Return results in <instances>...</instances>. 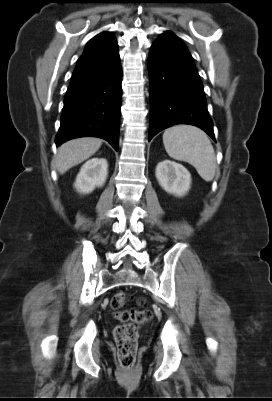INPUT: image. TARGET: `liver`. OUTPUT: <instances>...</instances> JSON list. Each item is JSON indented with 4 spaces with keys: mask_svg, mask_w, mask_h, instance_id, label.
Segmentation results:
<instances>
[{
    "mask_svg": "<svg viewBox=\"0 0 272 401\" xmlns=\"http://www.w3.org/2000/svg\"><path fill=\"white\" fill-rule=\"evenodd\" d=\"M102 145V139L94 137L77 138L62 144L55 159L60 174L82 163L95 154Z\"/></svg>",
    "mask_w": 272,
    "mask_h": 401,
    "instance_id": "1",
    "label": "liver"
}]
</instances>
